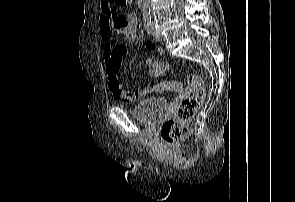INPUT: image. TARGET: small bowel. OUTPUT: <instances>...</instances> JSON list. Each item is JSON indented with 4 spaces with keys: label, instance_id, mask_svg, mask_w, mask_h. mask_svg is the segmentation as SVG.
<instances>
[{
    "label": "small bowel",
    "instance_id": "obj_1",
    "mask_svg": "<svg viewBox=\"0 0 295 202\" xmlns=\"http://www.w3.org/2000/svg\"><path fill=\"white\" fill-rule=\"evenodd\" d=\"M100 8L99 27L104 44V60L109 90L116 98L129 102L141 101L152 95L155 90H152V86H147L142 90H128L121 87L119 69L122 58L127 54V49L124 45L114 46L112 34V30H116L125 39L134 41L137 37V15L135 13L119 14L111 6L110 0H101ZM146 47L151 52L156 51L151 43H147ZM148 77L157 81L161 75H153L149 71ZM183 98H190V89H180L179 98H172L170 107H179V103H183Z\"/></svg>",
    "mask_w": 295,
    "mask_h": 202
}]
</instances>
